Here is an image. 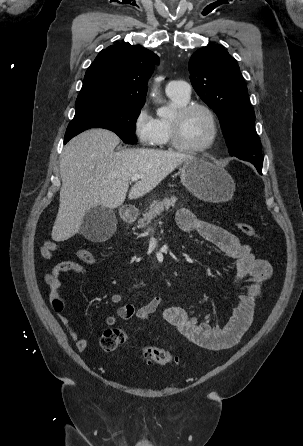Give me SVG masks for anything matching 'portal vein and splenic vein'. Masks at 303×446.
Segmentation results:
<instances>
[{
	"instance_id": "18ae733b",
	"label": "portal vein and splenic vein",
	"mask_w": 303,
	"mask_h": 446,
	"mask_svg": "<svg viewBox=\"0 0 303 446\" xmlns=\"http://www.w3.org/2000/svg\"><path fill=\"white\" fill-rule=\"evenodd\" d=\"M143 176L142 175H133L132 177H131V181H137V180H139V179H141Z\"/></svg>"
}]
</instances>
